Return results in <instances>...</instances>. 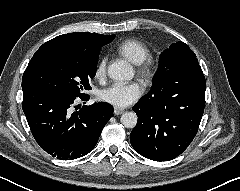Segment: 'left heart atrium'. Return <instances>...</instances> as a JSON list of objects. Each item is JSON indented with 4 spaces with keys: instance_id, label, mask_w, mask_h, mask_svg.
<instances>
[{
    "instance_id": "left-heart-atrium-1",
    "label": "left heart atrium",
    "mask_w": 240,
    "mask_h": 191,
    "mask_svg": "<svg viewBox=\"0 0 240 191\" xmlns=\"http://www.w3.org/2000/svg\"><path fill=\"white\" fill-rule=\"evenodd\" d=\"M143 94V87L138 82H115L104 89L100 98L115 107L123 108L138 100Z\"/></svg>"
}]
</instances>
